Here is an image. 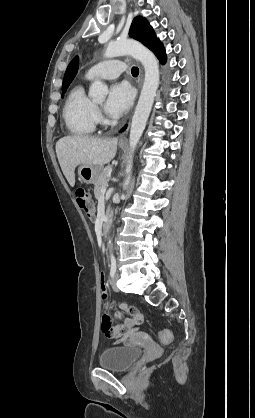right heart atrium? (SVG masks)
Masks as SVG:
<instances>
[{"label":"right heart atrium","mask_w":255,"mask_h":418,"mask_svg":"<svg viewBox=\"0 0 255 418\" xmlns=\"http://www.w3.org/2000/svg\"><path fill=\"white\" fill-rule=\"evenodd\" d=\"M101 117L100 112L96 110V118L99 119Z\"/></svg>","instance_id":"obj_1"}]
</instances>
